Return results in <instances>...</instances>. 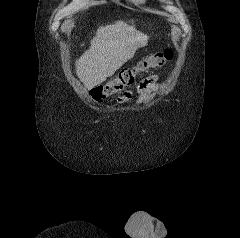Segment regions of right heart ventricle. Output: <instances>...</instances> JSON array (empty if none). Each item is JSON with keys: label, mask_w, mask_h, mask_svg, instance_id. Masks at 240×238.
<instances>
[{"label": "right heart ventricle", "mask_w": 240, "mask_h": 238, "mask_svg": "<svg viewBox=\"0 0 240 238\" xmlns=\"http://www.w3.org/2000/svg\"><path fill=\"white\" fill-rule=\"evenodd\" d=\"M126 1H130V2H133V3H142V2H144V0H126Z\"/></svg>", "instance_id": "e07e8e85"}]
</instances>
